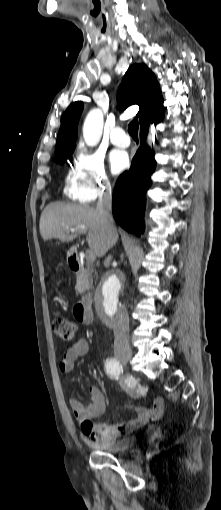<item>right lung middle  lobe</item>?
I'll list each match as a JSON object with an SVG mask.
<instances>
[{
  "instance_id": "dd1d6c3e",
  "label": "right lung middle lobe",
  "mask_w": 221,
  "mask_h": 510,
  "mask_svg": "<svg viewBox=\"0 0 221 510\" xmlns=\"http://www.w3.org/2000/svg\"><path fill=\"white\" fill-rule=\"evenodd\" d=\"M73 150H74V148L55 156V160L59 161L61 164L64 163L67 159L70 158Z\"/></svg>"
}]
</instances>
